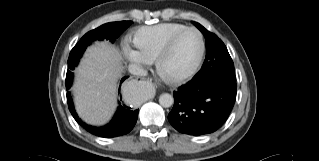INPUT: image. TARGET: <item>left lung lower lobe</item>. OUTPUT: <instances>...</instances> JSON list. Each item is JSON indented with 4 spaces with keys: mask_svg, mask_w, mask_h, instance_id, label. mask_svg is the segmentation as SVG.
<instances>
[{
    "mask_svg": "<svg viewBox=\"0 0 319 161\" xmlns=\"http://www.w3.org/2000/svg\"><path fill=\"white\" fill-rule=\"evenodd\" d=\"M236 82L207 77L192 79L173 92L170 124L180 133L204 135L216 131L227 120L236 100Z\"/></svg>",
    "mask_w": 319,
    "mask_h": 161,
    "instance_id": "obj_1",
    "label": "left lung lower lobe"
}]
</instances>
